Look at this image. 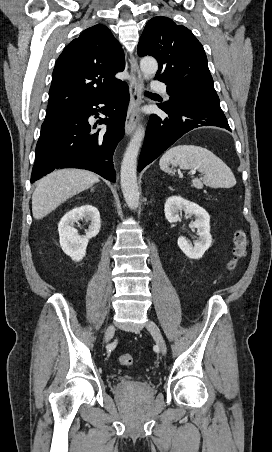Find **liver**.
Wrapping results in <instances>:
<instances>
[{
  "mask_svg": "<svg viewBox=\"0 0 272 452\" xmlns=\"http://www.w3.org/2000/svg\"><path fill=\"white\" fill-rule=\"evenodd\" d=\"M99 177L82 169H60L45 176L32 195V213L42 219L72 196L92 187Z\"/></svg>",
  "mask_w": 272,
  "mask_h": 452,
  "instance_id": "obj_1",
  "label": "liver"
}]
</instances>
